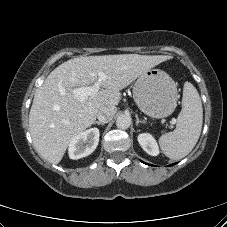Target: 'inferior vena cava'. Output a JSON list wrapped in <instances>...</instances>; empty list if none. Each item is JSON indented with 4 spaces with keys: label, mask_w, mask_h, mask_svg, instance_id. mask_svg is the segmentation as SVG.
Wrapping results in <instances>:
<instances>
[{
    "label": "inferior vena cava",
    "mask_w": 227,
    "mask_h": 227,
    "mask_svg": "<svg viewBox=\"0 0 227 227\" xmlns=\"http://www.w3.org/2000/svg\"><path fill=\"white\" fill-rule=\"evenodd\" d=\"M117 109L114 106H103L100 108L97 118L100 122L108 123L112 120Z\"/></svg>",
    "instance_id": "1"
}]
</instances>
